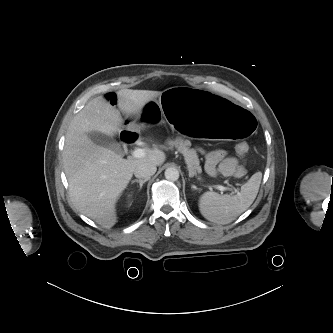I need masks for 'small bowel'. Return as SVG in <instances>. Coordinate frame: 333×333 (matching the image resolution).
Masks as SVG:
<instances>
[{"label":"small bowel","mask_w":333,"mask_h":333,"mask_svg":"<svg viewBox=\"0 0 333 333\" xmlns=\"http://www.w3.org/2000/svg\"><path fill=\"white\" fill-rule=\"evenodd\" d=\"M105 100L112 106L118 107V96L116 93L110 92L105 95ZM237 165L234 158L226 157L221 150L212 151L207 154V169L211 174L220 172L229 175L233 172Z\"/></svg>","instance_id":"1"}]
</instances>
